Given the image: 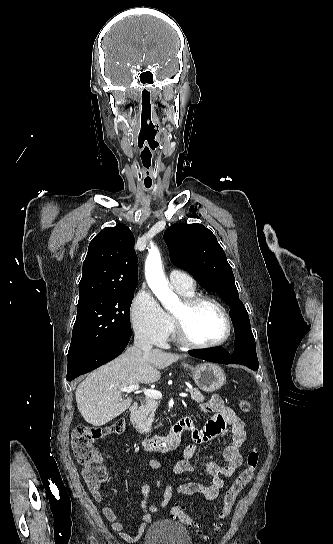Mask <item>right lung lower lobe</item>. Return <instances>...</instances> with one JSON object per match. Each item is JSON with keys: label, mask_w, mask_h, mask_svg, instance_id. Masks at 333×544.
<instances>
[{"label": "right lung lower lobe", "mask_w": 333, "mask_h": 544, "mask_svg": "<svg viewBox=\"0 0 333 544\" xmlns=\"http://www.w3.org/2000/svg\"><path fill=\"white\" fill-rule=\"evenodd\" d=\"M131 331H122L95 344L84 353L68 359L67 380L88 373L119 356L127 346Z\"/></svg>", "instance_id": "obj_1"}]
</instances>
